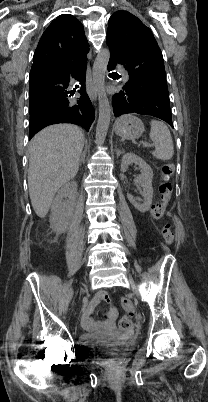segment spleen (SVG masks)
I'll return each instance as SVG.
<instances>
[{"mask_svg":"<svg viewBox=\"0 0 208 402\" xmlns=\"http://www.w3.org/2000/svg\"><path fill=\"white\" fill-rule=\"evenodd\" d=\"M150 140H152L155 150L152 152L155 158L158 160H171L174 154V146L166 124L163 122H157V120H152L150 122Z\"/></svg>","mask_w":208,"mask_h":402,"instance_id":"spleen-1","label":"spleen"}]
</instances>
